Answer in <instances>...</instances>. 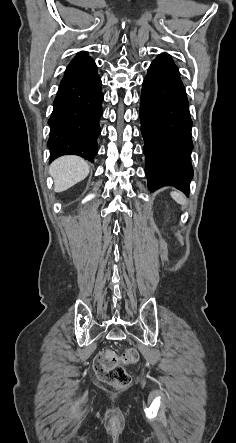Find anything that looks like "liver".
Listing matches in <instances>:
<instances>
[{
    "instance_id": "1",
    "label": "liver",
    "mask_w": 236,
    "mask_h": 443,
    "mask_svg": "<svg viewBox=\"0 0 236 443\" xmlns=\"http://www.w3.org/2000/svg\"><path fill=\"white\" fill-rule=\"evenodd\" d=\"M49 174L54 178V191L63 192L88 176L89 165L81 157L62 156L52 162Z\"/></svg>"
}]
</instances>
